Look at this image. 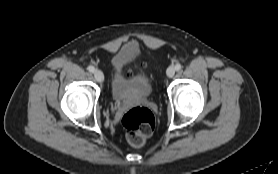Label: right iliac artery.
Instances as JSON below:
<instances>
[{
	"label": "right iliac artery",
	"mask_w": 278,
	"mask_h": 174,
	"mask_svg": "<svg viewBox=\"0 0 278 174\" xmlns=\"http://www.w3.org/2000/svg\"><path fill=\"white\" fill-rule=\"evenodd\" d=\"M89 72L94 73L95 72V68L93 66H89L88 67Z\"/></svg>",
	"instance_id": "right-iliac-artery-1"
}]
</instances>
